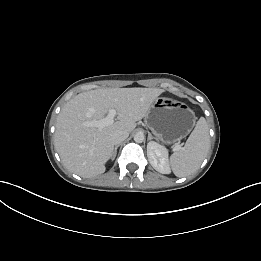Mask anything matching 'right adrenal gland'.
<instances>
[{
    "instance_id": "obj_1",
    "label": "right adrenal gland",
    "mask_w": 261,
    "mask_h": 261,
    "mask_svg": "<svg viewBox=\"0 0 261 261\" xmlns=\"http://www.w3.org/2000/svg\"><path fill=\"white\" fill-rule=\"evenodd\" d=\"M120 145H116L115 148H114V151H113V156H112V160L115 159L116 155H117V149Z\"/></svg>"
}]
</instances>
